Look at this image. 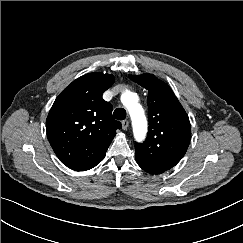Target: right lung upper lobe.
I'll list each match as a JSON object with an SVG mask.
<instances>
[{"label": "right lung upper lobe", "instance_id": "right-lung-upper-lobe-1", "mask_svg": "<svg viewBox=\"0 0 243 243\" xmlns=\"http://www.w3.org/2000/svg\"><path fill=\"white\" fill-rule=\"evenodd\" d=\"M113 75L89 73L74 80L53 103L47 137L57 157L68 168L86 171L100 163L121 123L111 116L113 107L102 94Z\"/></svg>", "mask_w": 243, "mask_h": 243}]
</instances>
